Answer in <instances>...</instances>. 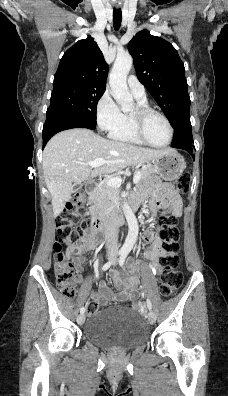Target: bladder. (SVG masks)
<instances>
[{"label": "bladder", "instance_id": "bladder-1", "mask_svg": "<svg viewBox=\"0 0 228 396\" xmlns=\"http://www.w3.org/2000/svg\"><path fill=\"white\" fill-rule=\"evenodd\" d=\"M83 335L99 347L125 351L144 343L148 329L135 311L106 309L90 317Z\"/></svg>", "mask_w": 228, "mask_h": 396}]
</instances>
